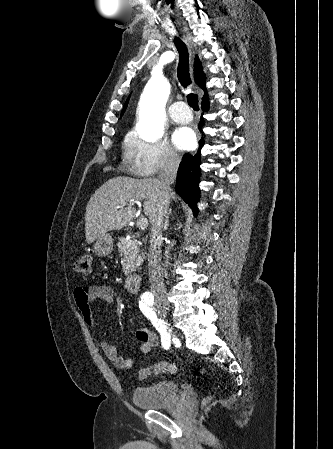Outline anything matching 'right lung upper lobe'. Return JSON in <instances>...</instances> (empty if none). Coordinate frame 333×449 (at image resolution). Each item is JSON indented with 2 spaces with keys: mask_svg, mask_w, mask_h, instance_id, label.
I'll return each mask as SVG.
<instances>
[{
  "mask_svg": "<svg viewBox=\"0 0 333 449\" xmlns=\"http://www.w3.org/2000/svg\"><path fill=\"white\" fill-rule=\"evenodd\" d=\"M194 76H195L196 83L200 86V88H202L205 91L206 90L205 74L202 71L201 62L197 56L195 57V63H194ZM127 103H128V100L123 108L122 113L125 111V109L127 107Z\"/></svg>",
  "mask_w": 333,
  "mask_h": 449,
  "instance_id": "cb5924a9",
  "label": "right lung upper lobe"
}]
</instances>
